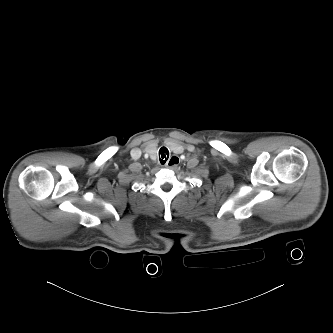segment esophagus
I'll list each match as a JSON object with an SVG mask.
<instances>
[{
  "label": "esophagus",
  "instance_id": "esophagus-1",
  "mask_svg": "<svg viewBox=\"0 0 333 333\" xmlns=\"http://www.w3.org/2000/svg\"><path fill=\"white\" fill-rule=\"evenodd\" d=\"M178 162H179L178 156L172 155L169 158V160L166 162L165 167L174 169L177 167Z\"/></svg>",
  "mask_w": 333,
  "mask_h": 333
}]
</instances>
